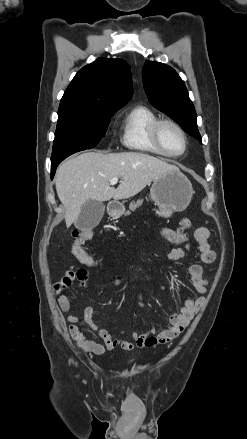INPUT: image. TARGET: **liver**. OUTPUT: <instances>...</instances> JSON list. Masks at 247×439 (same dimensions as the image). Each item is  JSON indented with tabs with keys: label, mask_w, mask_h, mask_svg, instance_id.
Segmentation results:
<instances>
[{
	"label": "liver",
	"mask_w": 247,
	"mask_h": 439,
	"mask_svg": "<svg viewBox=\"0 0 247 439\" xmlns=\"http://www.w3.org/2000/svg\"><path fill=\"white\" fill-rule=\"evenodd\" d=\"M179 171L156 157L138 152H85L62 163L56 172L58 197L65 207L66 226L74 223L88 200H122L138 194L156 178ZM120 178L115 189L110 180Z\"/></svg>",
	"instance_id": "6515ba94"
}]
</instances>
